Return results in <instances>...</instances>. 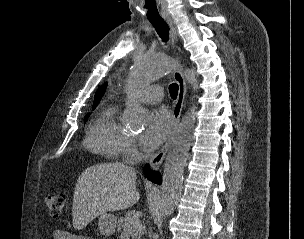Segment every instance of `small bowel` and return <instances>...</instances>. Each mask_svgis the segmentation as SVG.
<instances>
[{
    "instance_id": "obj_1",
    "label": "small bowel",
    "mask_w": 304,
    "mask_h": 239,
    "mask_svg": "<svg viewBox=\"0 0 304 239\" xmlns=\"http://www.w3.org/2000/svg\"><path fill=\"white\" fill-rule=\"evenodd\" d=\"M53 239H74L75 235L69 231L56 229L52 233Z\"/></svg>"
}]
</instances>
